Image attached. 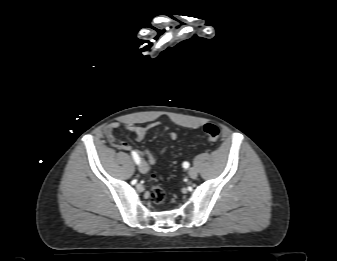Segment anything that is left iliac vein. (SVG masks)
Returning a JSON list of instances; mask_svg holds the SVG:
<instances>
[{
  "instance_id": "1",
  "label": "left iliac vein",
  "mask_w": 337,
  "mask_h": 261,
  "mask_svg": "<svg viewBox=\"0 0 337 261\" xmlns=\"http://www.w3.org/2000/svg\"><path fill=\"white\" fill-rule=\"evenodd\" d=\"M188 174L190 178L195 179L198 176V171L195 168H190Z\"/></svg>"
}]
</instances>
